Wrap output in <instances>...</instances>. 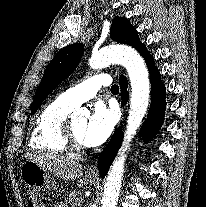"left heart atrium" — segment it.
<instances>
[{
  "mask_svg": "<svg viewBox=\"0 0 206 207\" xmlns=\"http://www.w3.org/2000/svg\"><path fill=\"white\" fill-rule=\"evenodd\" d=\"M116 122V109L108 108L103 103H97L83 133L84 144L93 147L105 142L111 135Z\"/></svg>",
  "mask_w": 206,
  "mask_h": 207,
  "instance_id": "39dd6f15",
  "label": "left heart atrium"
}]
</instances>
